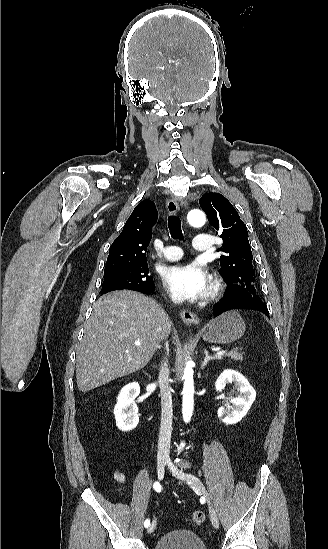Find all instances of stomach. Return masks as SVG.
<instances>
[{
    "mask_svg": "<svg viewBox=\"0 0 328 549\" xmlns=\"http://www.w3.org/2000/svg\"><path fill=\"white\" fill-rule=\"evenodd\" d=\"M245 329V323L238 311H226L207 325L203 341L218 343V345L233 343L243 337Z\"/></svg>",
    "mask_w": 328,
    "mask_h": 549,
    "instance_id": "0dacf381",
    "label": "stomach"
}]
</instances>
